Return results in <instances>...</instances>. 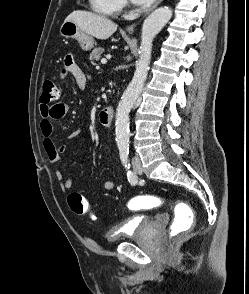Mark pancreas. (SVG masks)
<instances>
[{
	"label": "pancreas",
	"instance_id": "cf45deb5",
	"mask_svg": "<svg viewBox=\"0 0 249 294\" xmlns=\"http://www.w3.org/2000/svg\"><path fill=\"white\" fill-rule=\"evenodd\" d=\"M104 50L102 48H95L90 54L89 60L93 63L94 60L98 61L101 58Z\"/></svg>",
	"mask_w": 249,
	"mask_h": 294
}]
</instances>
